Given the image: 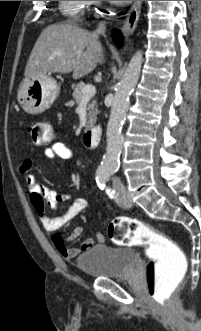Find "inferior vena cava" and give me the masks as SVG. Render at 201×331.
Wrapping results in <instances>:
<instances>
[{
	"instance_id": "602c4592",
	"label": "inferior vena cava",
	"mask_w": 201,
	"mask_h": 331,
	"mask_svg": "<svg viewBox=\"0 0 201 331\" xmlns=\"http://www.w3.org/2000/svg\"><path fill=\"white\" fill-rule=\"evenodd\" d=\"M105 31V26L103 23L99 25V27L96 29L95 34L103 33Z\"/></svg>"
}]
</instances>
